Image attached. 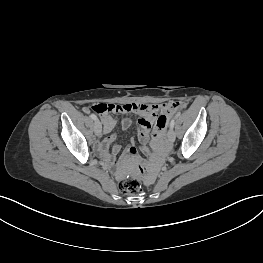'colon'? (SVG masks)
Here are the masks:
<instances>
[{
	"instance_id": "obj_1",
	"label": "colon",
	"mask_w": 263,
	"mask_h": 263,
	"mask_svg": "<svg viewBox=\"0 0 263 263\" xmlns=\"http://www.w3.org/2000/svg\"><path fill=\"white\" fill-rule=\"evenodd\" d=\"M178 103L180 104V109H182L183 104ZM167 107V101L154 103L152 101L138 102L137 100H130L126 103H99L93 106L92 109L97 115H113L114 113L137 115L140 113H163ZM118 188L124 194H135L141 190V184L136 178H127L119 182Z\"/></svg>"
}]
</instances>
